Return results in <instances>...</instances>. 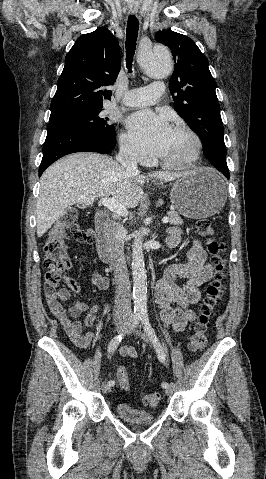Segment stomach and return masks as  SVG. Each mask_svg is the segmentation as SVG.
<instances>
[{
	"label": "stomach",
	"mask_w": 266,
	"mask_h": 479,
	"mask_svg": "<svg viewBox=\"0 0 266 479\" xmlns=\"http://www.w3.org/2000/svg\"><path fill=\"white\" fill-rule=\"evenodd\" d=\"M227 197L226 186L211 168L202 167L181 176L170 192L178 212L191 219L207 218L217 213Z\"/></svg>",
	"instance_id": "0dacf381"
}]
</instances>
